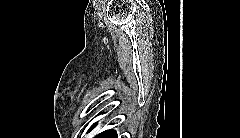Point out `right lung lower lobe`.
<instances>
[{"label":"right lung lower lobe","instance_id":"98d812e1","mask_svg":"<svg viewBox=\"0 0 240 138\" xmlns=\"http://www.w3.org/2000/svg\"><path fill=\"white\" fill-rule=\"evenodd\" d=\"M95 138H117V134L114 130H106L98 134Z\"/></svg>","mask_w":240,"mask_h":138}]
</instances>
